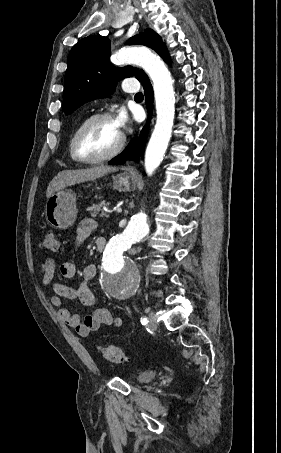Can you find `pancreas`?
<instances>
[{"label": "pancreas", "instance_id": "cf45deb5", "mask_svg": "<svg viewBox=\"0 0 281 453\" xmlns=\"http://www.w3.org/2000/svg\"><path fill=\"white\" fill-rule=\"evenodd\" d=\"M102 206H107V204H104V202H97V204H92V206H90L91 216H107L108 212H105Z\"/></svg>", "mask_w": 281, "mask_h": 453}]
</instances>
